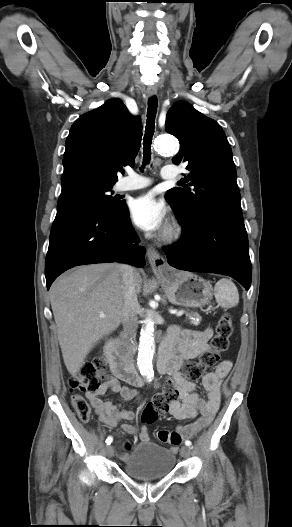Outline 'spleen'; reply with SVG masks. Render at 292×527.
Returning a JSON list of instances; mask_svg holds the SVG:
<instances>
[{"mask_svg":"<svg viewBox=\"0 0 292 527\" xmlns=\"http://www.w3.org/2000/svg\"><path fill=\"white\" fill-rule=\"evenodd\" d=\"M218 304L223 307H235L239 303V293L235 284L229 279H220L214 287Z\"/></svg>","mask_w":292,"mask_h":527,"instance_id":"3e777b00","label":"spleen"}]
</instances>
